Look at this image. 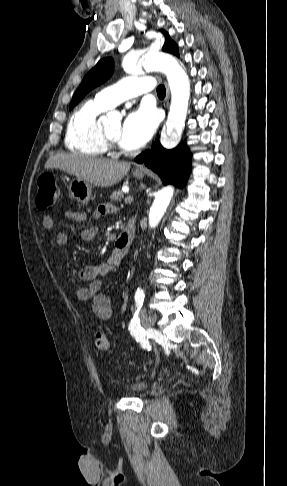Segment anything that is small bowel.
I'll list each match as a JSON object with an SVG mask.
<instances>
[{
    "mask_svg": "<svg viewBox=\"0 0 287 486\" xmlns=\"http://www.w3.org/2000/svg\"><path fill=\"white\" fill-rule=\"evenodd\" d=\"M114 207L109 204H102L91 214V217L95 220L101 218L103 215L114 212ZM65 217L75 222H83L87 219L88 215L83 210H68L65 212ZM43 227L46 230L54 231L55 223L51 216L46 215L42 220ZM98 227L91 226L83 228L79 232V236L84 241L93 240L98 234ZM70 239V233L59 232L55 238V244L58 248H63ZM126 253L119 254L114 251L106 262L89 265L82 267L77 272L78 279L87 281L86 287L78 288L75 290L77 299L81 301H92V308L95 315L101 320H108L112 315V303L109 296L102 292L103 282L99 277L105 276L110 272L117 270L122 264Z\"/></svg>",
    "mask_w": 287,
    "mask_h": 486,
    "instance_id": "c3829d8e",
    "label": "small bowel"
}]
</instances>
